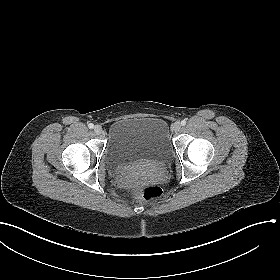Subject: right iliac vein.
Here are the masks:
<instances>
[{"label": "right iliac vein", "mask_w": 280, "mask_h": 280, "mask_svg": "<svg viewBox=\"0 0 280 280\" xmlns=\"http://www.w3.org/2000/svg\"><path fill=\"white\" fill-rule=\"evenodd\" d=\"M94 132L98 135L101 134L102 133V127L100 125H96L94 127Z\"/></svg>", "instance_id": "right-iliac-vein-1"}]
</instances>
